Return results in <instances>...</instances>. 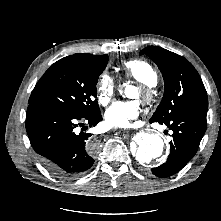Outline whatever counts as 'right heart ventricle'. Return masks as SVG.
Listing matches in <instances>:
<instances>
[{
  "instance_id": "e07e8e85",
  "label": "right heart ventricle",
  "mask_w": 221,
  "mask_h": 221,
  "mask_svg": "<svg viewBox=\"0 0 221 221\" xmlns=\"http://www.w3.org/2000/svg\"><path fill=\"white\" fill-rule=\"evenodd\" d=\"M122 72L127 79H134L148 86H154L157 83L155 70L143 59H132L124 62Z\"/></svg>"
}]
</instances>
